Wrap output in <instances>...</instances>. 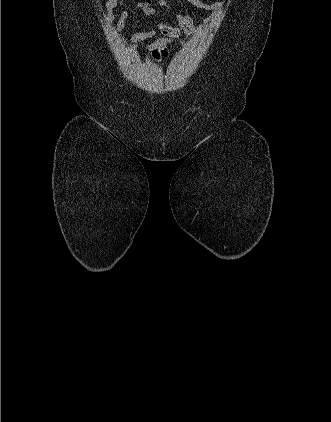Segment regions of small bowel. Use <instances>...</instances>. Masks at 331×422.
<instances>
[{"mask_svg":"<svg viewBox=\"0 0 331 422\" xmlns=\"http://www.w3.org/2000/svg\"><path fill=\"white\" fill-rule=\"evenodd\" d=\"M227 0H220L211 4L205 3L202 0H188L194 6L210 11V15L204 20L201 25H195L192 18L186 12H176L175 18L178 25H170L158 19L157 11L153 5V0H140L136 2L131 9L120 13L116 18L114 10L123 5H128V0H107L105 7L107 10V17L105 21L106 30L112 32L116 38H119L125 25L126 20L135 13H142L152 20L153 28L147 31L136 32L131 36V42L138 45L140 50L147 51L155 63H159L162 59L167 57L169 47L174 45L183 32L186 38L192 35L201 33L210 24H212L218 17L220 10L225 6ZM158 5L164 9L172 12L173 9L166 0H157ZM157 33L161 37L155 39L148 45H141L140 43L146 39L154 37Z\"/></svg>","mask_w":331,"mask_h":422,"instance_id":"small-bowel-1","label":"small bowel"}]
</instances>
